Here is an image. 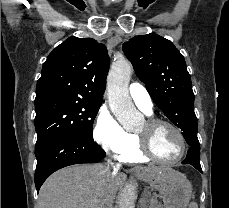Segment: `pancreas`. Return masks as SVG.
<instances>
[{"label":"pancreas","mask_w":229,"mask_h":208,"mask_svg":"<svg viewBox=\"0 0 229 208\" xmlns=\"http://www.w3.org/2000/svg\"><path fill=\"white\" fill-rule=\"evenodd\" d=\"M149 196H151V194H149ZM144 208H162V206L159 200H155V198H148L145 202Z\"/></svg>","instance_id":"1"}]
</instances>
